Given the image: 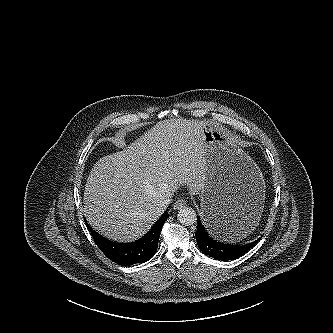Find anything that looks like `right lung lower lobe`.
<instances>
[{"label":"right lung lower lobe","instance_id":"right-lung-lower-lobe-1","mask_svg":"<svg viewBox=\"0 0 333 333\" xmlns=\"http://www.w3.org/2000/svg\"><path fill=\"white\" fill-rule=\"evenodd\" d=\"M167 218L168 212L165 211L146 235L129 244L108 240L98 234L86 221L85 222L91 232L94 242L105 256L117 264L130 266L136 263H144L154 256L157 250L161 229Z\"/></svg>","mask_w":333,"mask_h":333}]
</instances>
